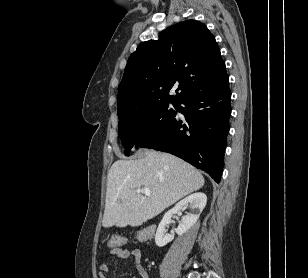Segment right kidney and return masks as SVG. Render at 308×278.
I'll return each instance as SVG.
<instances>
[{
    "mask_svg": "<svg viewBox=\"0 0 308 278\" xmlns=\"http://www.w3.org/2000/svg\"><path fill=\"white\" fill-rule=\"evenodd\" d=\"M207 197L204 193H194L181 200L175 207L167 212L161 220L155 235V243L158 247H163L174 239V236L166 233V226L170 224L174 214L181 211L184 207H190L191 213L183 216L179 223L176 233L183 235L186 233L199 219L200 213L206 206Z\"/></svg>",
    "mask_w": 308,
    "mask_h": 278,
    "instance_id": "right-kidney-1",
    "label": "right kidney"
}]
</instances>
